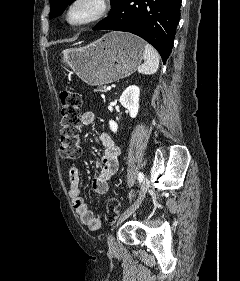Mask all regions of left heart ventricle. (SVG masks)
Wrapping results in <instances>:
<instances>
[{
    "instance_id": "left-heart-ventricle-1",
    "label": "left heart ventricle",
    "mask_w": 240,
    "mask_h": 281,
    "mask_svg": "<svg viewBox=\"0 0 240 281\" xmlns=\"http://www.w3.org/2000/svg\"><path fill=\"white\" fill-rule=\"evenodd\" d=\"M90 8L91 6L87 4L78 6L73 13V19L79 20L84 18L88 14Z\"/></svg>"
}]
</instances>
